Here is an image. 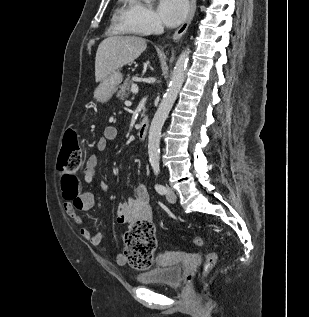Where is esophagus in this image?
<instances>
[{
  "label": "esophagus",
  "mask_w": 309,
  "mask_h": 317,
  "mask_svg": "<svg viewBox=\"0 0 309 317\" xmlns=\"http://www.w3.org/2000/svg\"><path fill=\"white\" fill-rule=\"evenodd\" d=\"M196 11V0H190V9L187 18L185 21L182 23V25L175 31L172 39L173 41H178L186 32L188 26L190 25L194 14Z\"/></svg>",
  "instance_id": "esophagus-1"
}]
</instances>
